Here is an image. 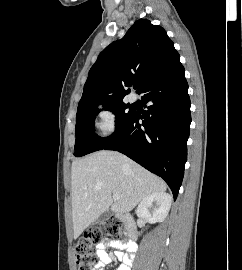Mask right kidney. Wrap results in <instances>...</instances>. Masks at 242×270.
Here are the masks:
<instances>
[{"instance_id": "obj_1", "label": "right kidney", "mask_w": 242, "mask_h": 270, "mask_svg": "<svg viewBox=\"0 0 242 270\" xmlns=\"http://www.w3.org/2000/svg\"><path fill=\"white\" fill-rule=\"evenodd\" d=\"M171 196L164 192L152 193L139 204L137 216L149 223L162 222L167 217L171 207ZM153 208V211L150 209Z\"/></svg>"}]
</instances>
